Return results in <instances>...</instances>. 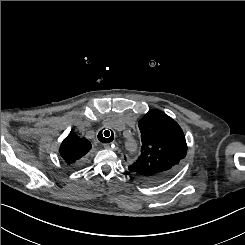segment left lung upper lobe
<instances>
[{"instance_id": "1", "label": "left lung upper lobe", "mask_w": 245, "mask_h": 245, "mask_svg": "<svg viewBox=\"0 0 245 245\" xmlns=\"http://www.w3.org/2000/svg\"><path fill=\"white\" fill-rule=\"evenodd\" d=\"M138 126L141 155L128 169L144 183H161L178 170L186 156L184 133L177 122L159 110H150Z\"/></svg>"}]
</instances>
